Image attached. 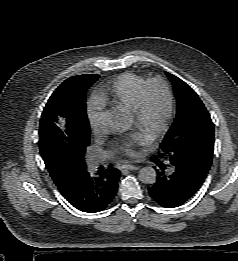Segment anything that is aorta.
Returning a JSON list of instances; mask_svg holds the SVG:
<instances>
[{
    "instance_id": "762f6f07",
    "label": "aorta",
    "mask_w": 238,
    "mask_h": 261,
    "mask_svg": "<svg viewBox=\"0 0 238 261\" xmlns=\"http://www.w3.org/2000/svg\"><path fill=\"white\" fill-rule=\"evenodd\" d=\"M130 127L129 120L117 113H104L100 120V130L104 134H115L123 132ZM138 178L142 183L152 184L156 181V171L152 167L140 169Z\"/></svg>"
}]
</instances>
